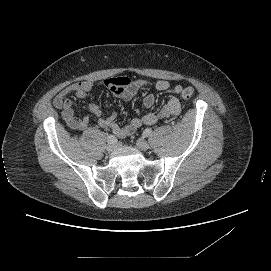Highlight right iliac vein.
I'll return each instance as SVG.
<instances>
[{"mask_svg": "<svg viewBox=\"0 0 271 271\" xmlns=\"http://www.w3.org/2000/svg\"><path fill=\"white\" fill-rule=\"evenodd\" d=\"M114 148H115V144H114V143H108L107 146H106V150H107L108 152L113 151Z\"/></svg>", "mask_w": 271, "mask_h": 271, "instance_id": "63e3f726", "label": "right iliac vein"}]
</instances>
